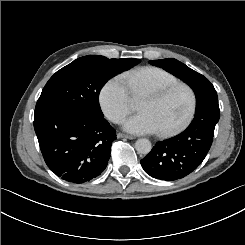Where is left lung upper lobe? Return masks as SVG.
<instances>
[{"mask_svg": "<svg viewBox=\"0 0 245 245\" xmlns=\"http://www.w3.org/2000/svg\"><path fill=\"white\" fill-rule=\"evenodd\" d=\"M149 63L163 68L186 82L193 89L195 94L199 92L204 85L210 83L209 80L203 75L197 73L182 62L173 58L153 60L149 61Z\"/></svg>", "mask_w": 245, "mask_h": 245, "instance_id": "obj_1", "label": "left lung upper lobe"}]
</instances>
